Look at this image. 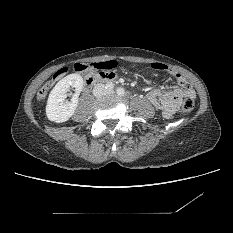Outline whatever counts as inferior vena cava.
<instances>
[{
    "label": "inferior vena cava",
    "instance_id": "1",
    "mask_svg": "<svg viewBox=\"0 0 233 233\" xmlns=\"http://www.w3.org/2000/svg\"><path fill=\"white\" fill-rule=\"evenodd\" d=\"M105 92H106V90H105V85L104 84H97L93 88V95L95 97H100V96L104 95Z\"/></svg>",
    "mask_w": 233,
    "mask_h": 233
}]
</instances>
